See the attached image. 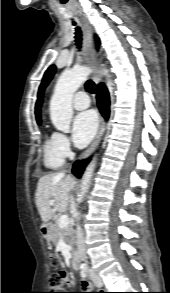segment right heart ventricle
Wrapping results in <instances>:
<instances>
[{"mask_svg": "<svg viewBox=\"0 0 170 293\" xmlns=\"http://www.w3.org/2000/svg\"><path fill=\"white\" fill-rule=\"evenodd\" d=\"M43 161L49 170H57L64 163V157L57 151L54 142V133L47 135L43 145Z\"/></svg>", "mask_w": 170, "mask_h": 293, "instance_id": "e07e8e85", "label": "right heart ventricle"}]
</instances>
